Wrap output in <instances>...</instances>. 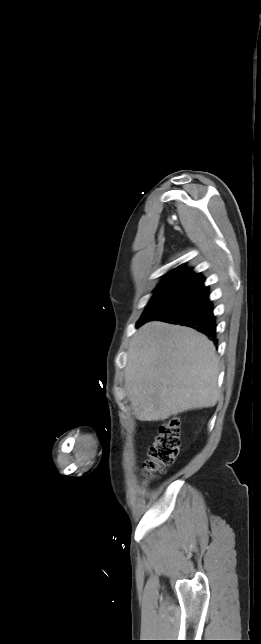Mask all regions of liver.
<instances>
[{
  "instance_id": "obj_1",
  "label": "liver",
  "mask_w": 261,
  "mask_h": 644,
  "mask_svg": "<svg viewBox=\"0 0 261 644\" xmlns=\"http://www.w3.org/2000/svg\"><path fill=\"white\" fill-rule=\"evenodd\" d=\"M218 375L214 344L192 328L152 321L130 342L125 387L140 421L213 407L220 397Z\"/></svg>"
}]
</instances>
